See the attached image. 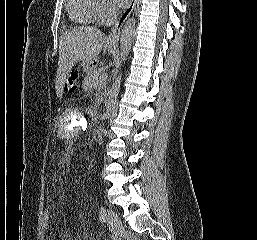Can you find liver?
I'll return each mask as SVG.
<instances>
[{
    "instance_id": "1",
    "label": "liver",
    "mask_w": 257,
    "mask_h": 240,
    "mask_svg": "<svg viewBox=\"0 0 257 240\" xmlns=\"http://www.w3.org/2000/svg\"><path fill=\"white\" fill-rule=\"evenodd\" d=\"M105 35L95 27H78L59 38L56 92L62 97L63 86L72 67L79 61L93 62L101 52Z\"/></svg>"
}]
</instances>
